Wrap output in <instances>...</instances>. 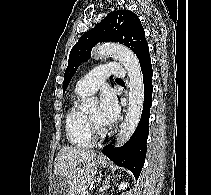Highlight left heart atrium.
<instances>
[{"label": "left heart atrium", "mask_w": 211, "mask_h": 195, "mask_svg": "<svg viewBox=\"0 0 211 195\" xmlns=\"http://www.w3.org/2000/svg\"><path fill=\"white\" fill-rule=\"evenodd\" d=\"M119 116V105L116 97L109 91L101 95V105L99 110V122L107 127L114 124Z\"/></svg>", "instance_id": "obj_1"}]
</instances>
